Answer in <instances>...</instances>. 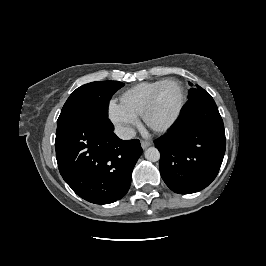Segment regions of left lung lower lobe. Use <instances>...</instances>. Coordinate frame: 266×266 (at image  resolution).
Instances as JSON below:
<instances>
[{
    "label": "left lung lower lobe",
    "instance_id": "1",
    "mask_svg": "<svg viewBox=\"0 0 266 266\" xmlns=\"http://www.w3.org/2000/svg\"><path fill=\"white\" fill-rule=\"evenodd\" d=\"M154 143L162 179L172 191L191 194L207 187L226 149L224 124L213 98L206 92L190 99L173 128Z\"/></svg>",
    "mask_w": 266,
    "mask_h": 266
}]
</instances>
